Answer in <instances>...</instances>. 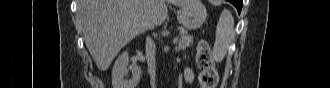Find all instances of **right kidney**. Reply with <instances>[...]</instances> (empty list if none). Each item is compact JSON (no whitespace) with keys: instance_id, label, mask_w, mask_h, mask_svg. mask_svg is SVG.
<instances>
[{"instance_id":"ca27d5eb","label":"right kidney","mask_w":330,"mask_h":88,"mask_svg":"<svg viewBox=\"0 0 330 88\" xmlns=\"http://www.w3.org/2000/svg\"><path fill=\"white\" fill-rule=\"evenodd\" d=\"M129 56L128 52L124 51L115 61L112 70V85L113 88H135L140 81L142 70L135 65L133 67L132 79L126 80L124 76L128 73Z\"/></svg>"}]
</instances>
